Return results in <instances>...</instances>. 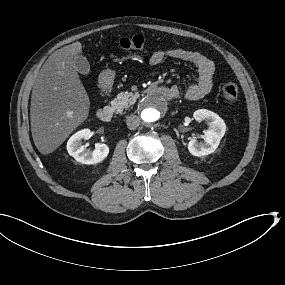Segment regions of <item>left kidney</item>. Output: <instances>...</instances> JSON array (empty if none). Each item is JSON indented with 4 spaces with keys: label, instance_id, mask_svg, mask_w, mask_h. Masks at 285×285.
<instances>
[{
    "label": "left kidney",
    "instance_id": "left-kidney-1",
    "mask_svg": "<svg viewBox=\"0 0 285 285\" xmlns=\"http://www.w3.org/2000/svg\"><path fill=\"white\" fill-rule=\"evenodd\" d=\"M196 121H205L212 129H208L203 133L204 143L191 140L188 143V151L194 157H202L212 154L220 145L221 139L225 134L226 124L214 112L208 110H198L194 113Z\"/></svg>",
    "mask_w": 285,
    "mask_h": 285
}]
</instances>
